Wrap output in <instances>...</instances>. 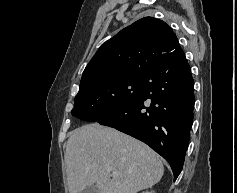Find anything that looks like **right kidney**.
<instances>
[{
  "label": "right kidney",
  "mask_w": 237,
  "mask_h": 193,
  "mask_svg": "<svg viewBox=\"0 0 237 193\" xmlns=\"http://www.w3.org/2000/svg\"><path fill=\"white\" fill-rule=\"evenodd\" d=\"M142 193H154L153 191H147V192H142Z\"/></svg>",
  "instance_id": "right-kidney-1"
}]
</instances>
